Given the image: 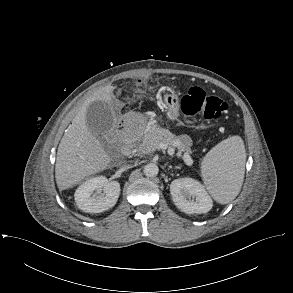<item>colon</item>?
<instances>
[{"instance_id": "1", "label": "colon", "mask_w": 293, "mask_h": 293, "mask_svg": "<svg viewBox=\"0 0 293 293\" xmlns=\"http://www.w3.org/2000/svg\"><path fill=\"white\" fill-rule=\"evenodd\" d=\"M181 107L185 115L199 116L205 120L218 119L228 109L223 99L207 94L199 86H192L183 94Z\"/></svg>"}]
</instances>
